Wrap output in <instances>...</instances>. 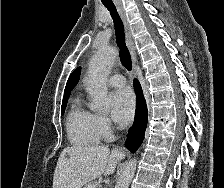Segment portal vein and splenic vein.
<instances>
[{
	"instance_id": "18ae733b",
	"label": "portal vein and splenic vein",
	"mask_w": 224,
	"mask_h": 188,
	"mask_svg": "<svg viewBox=\"0 0 224 188\" xmlns=\"http://www.w3.org/2000/svg\"><path fill=\"white\" fill-rule=\"evenodd\" d=\"M90 188H95V186L93 185V186H90Z\"/></svg>"
}]
</instances>
